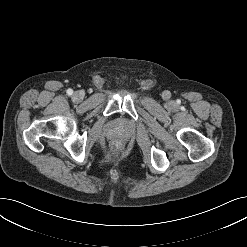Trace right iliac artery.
Returning <instances> with one entry per match:
<instances>
[{
	"label": "right iliac artery",
	"mask_w": 247,
	"mask_h": 247,
	"mask_svg": "<svg viewBox=\"0 0 247 247\" xmlns=\"http://www.w3.org/2000/svg\"><path fill=\"white\" fill-rule=\"evenodd\" d=\"M67 94H68L69 96H71V95L73 94V90H72V89H68V90H67Z\"/></svg>",
	"instance_id": "obj_1"
}]
</instances>
